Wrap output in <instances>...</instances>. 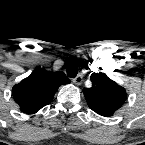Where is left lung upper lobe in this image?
Instances as JSON below:
<instances>
[{
  "mask_svg": "<svg viewBox=\"0 0 145 145\" xmlns=\"http://www.w3.org/2000/svg\"><path fill=\"white\" fill-rule=\"evenodd\" d=\"M91 82L92 87L83 90L88 106L102 116H112L126 101V90L104 73H92Z\"/></svg>",
  "mask_w": 145,
  "mask_h": 145,
  "instance_id": "obj_1",
  "label": "left lung upper lobe"
}]
</instances>
